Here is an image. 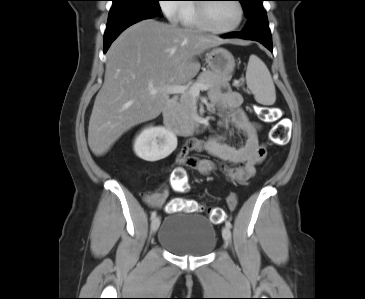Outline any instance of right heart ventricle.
<instances>
[{
	"instance_id": "1",
	"label": "right heart ventricle",
	"mask_w": 365,
	"mask_h": 299,
	"mask_svg": "<svg viewBox=\"0 0 365 299\" xmlns=\"http://www.w3.org/2000/svg\"><path fill=\"white\" fill-rule=\"evenodd\" d=\"M184 12L181 17V22L186 27L203 29L198 19L197 6L194 4L183 5Z\"/></svg>"
}]
</instances>
